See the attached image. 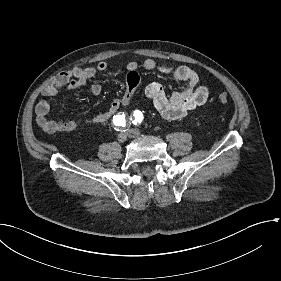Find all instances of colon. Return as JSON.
I'll list each match as a JSON object with an SVG mask.
<instances>
[{
    "label": "colon",
    "instance_id": "colon-1",
    "mask_svg": "<svg viewBox=\"0 0 281 281\" xmlns=\"http://www.w3.org/2000/svg\"><path fill=\"white\" fill-rule=\"evenodd\" d=\"M229 100V97L226 94H219L217 96V102L220 104H226Z\"/></svg>",
    "mask_w": 281,
    "mask_h": 281
}]
</instances>
